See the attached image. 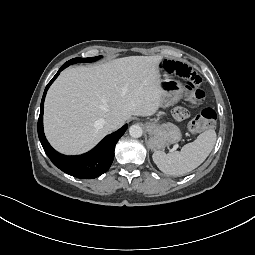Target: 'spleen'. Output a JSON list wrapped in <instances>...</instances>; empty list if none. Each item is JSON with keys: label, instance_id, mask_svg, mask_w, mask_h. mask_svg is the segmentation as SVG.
<instances>
[{"label": "spleen", "instance_id": "1", "mask_svg": "<svg viewBox=\"0 0 255 255\" xmlns=\"http://www.w3.org/2000/svg\"><path fill=\"white\" fill-rule=\"evenodd\" d=\"M216 138L214 130H206L196 140L184 145L181 151L168 154L155 151L152 155L153 161L167 175H185L205 161L214 148Z\"/></svg>", "mask_w": 255, "mask_h": 255}]
</instances>
